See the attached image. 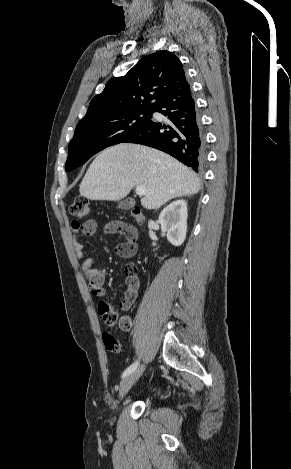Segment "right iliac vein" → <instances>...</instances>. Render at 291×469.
<instances>
[{
    "mask_svg": "<svg viewBox=\"0 0 291 469\" xmlns=\"http://www.w3.org/2000/svg\"><path fill=\"white\" fill-rule=\"evenodd\" d=\"M145 367L142 365L136 371H133L131 374L126 376L120 384L119 389V399L122 400L124 396L128 393L131 389L133 384L138 380V378L142 375Z\"/></svg>",
    "mask_w": 291,
    "mask_h": 469,
    "instance_id": "1",
    "label": "right iliac vein"
}]
</instances>
